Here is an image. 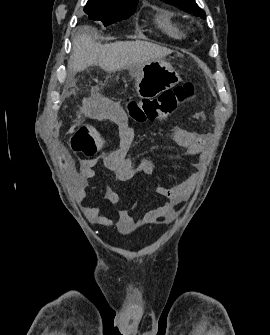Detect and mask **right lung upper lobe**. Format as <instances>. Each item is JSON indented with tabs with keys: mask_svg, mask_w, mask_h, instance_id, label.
Here are the masks:
<instances>
[{
	"mask_svg": "<svg viewBox=\"0 0 270 335\" xmlns=\"http://www.w3.org/2000/svg\"><path fill=\"white\" fill-rule=\"evenodd\" d=\"M100 6H121L127 4H137L138 0H91Z\"/></svg>",
	"mask_w": 270,
	"mask_h": 335,
	"instance_id": "right-lung-upper-lobe-1",
	"label": "right lung upper lobe"
}]
</instances>
